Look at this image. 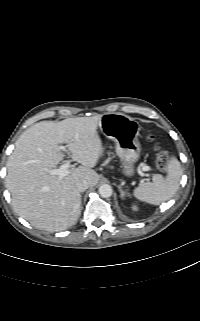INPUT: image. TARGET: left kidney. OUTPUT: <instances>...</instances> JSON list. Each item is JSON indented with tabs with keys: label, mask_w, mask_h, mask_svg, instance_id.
Wrapping results in <instances>:
<instances>
[{
	"label": "left kidney",
	"mask_w": 200,
	"mask_h": 321,
	"mask_svg": "<svg viewBox=\"0 0 200 321\" xmlns=\"http://www.w3.org/2000/svg\"><path fill=\"white\" fill-rule=\"evenodd\" d=\"M132 209H133L134 211H137V210H138V207H137L136 205H133V206H132Z\"/></svg>",
	"instance_id": "obj_1"
}]
</instances>
